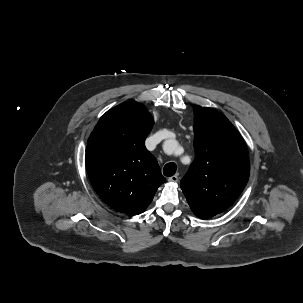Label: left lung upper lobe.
I'll list each match as a JSON object with an SVG mask.
<instances>
[{
  "label": "left lung upper lobe",
  "instance_id": "5c2ea615",
  "mask_svg": "<svg viewBox=\"0 0 303 303\" xmlns=\"http://www.w3.org/2000/svg\"><path fill=\"white\" fill-rule=\"evenodd\" d=\"M194 112L195 160L180 186L194 214L208 219L238 199L250 166L242 137L223 114L201 106Z\"/></svg>",
  "mask_w": 303,
  "mask_h": 303
}]
</instances>
